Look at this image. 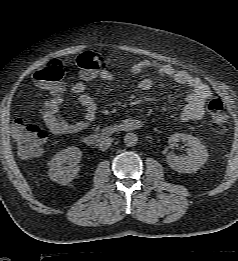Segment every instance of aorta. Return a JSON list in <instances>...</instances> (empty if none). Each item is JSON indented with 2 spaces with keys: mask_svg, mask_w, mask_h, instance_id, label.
<instances>
[{
  "mask_svg": "<svg viewBox=\"0 0 238 261\" xmlns=\"http://www.w3.org/2000/svg\"><path fill=\"white\" fill-rule=\"evenodd\" d=\"M138 142V137L135 133H127L124 136V143L126 144V146L128 147H133L137 144Z\"/></svg>",
  "mask_w": 238,
  "mask_h": 261,
  "instance_id": "762f6f07",
  "label": "aorta"
}]
</instances>
